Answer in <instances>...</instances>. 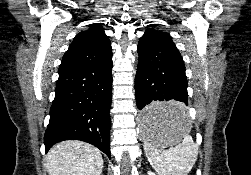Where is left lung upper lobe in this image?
Wrapping results in <instances>:
<instances>
[{
  "instance_id": "1",
  "label": "left lung upper lobe",
  "mask_w": 251,
  "mask_h": 175,
  "mask_svg": "<svg viewBox=\"0 0 251 175\" xmlns=\"http://www.w3.org/2000/svg\"><path fill=\"white\" fill-rule=\"evenodd\" d=\"M152 26L154 27L155 25H152ZM146 32H148V33H154V34H160L164 38L172 41V37L170 36V34H168L166 32H163V31H161L159 29H148Z\"/></svg>"
}]
</instances>
